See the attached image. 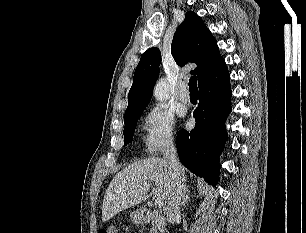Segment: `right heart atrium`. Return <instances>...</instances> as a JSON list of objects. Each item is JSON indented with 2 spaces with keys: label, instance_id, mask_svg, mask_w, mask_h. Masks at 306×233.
Masks as SVG:
<instances>
[{
  "label": "right heart atrium",
  "instance_id": "1",
  "mask_svg": "<svg viewBox=\"0 0 306 233\" xmlns=\"http://www.w3.org/2000/svg\"><path fill=\"white\" fill-rule=\"evenodd\" d=\"M144 146L155 155L171 146L175 140L174 115L159 106L150 109L143 119Z\"/></svg>",
  "mask_w": 306,
  "mask_h": 233
}]
</instances>
